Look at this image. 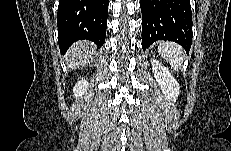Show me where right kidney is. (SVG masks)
<instances>
[{"label":"right kidney","mask_w":231,"mask_h":151,"mask_svg":"<svg viewBox=\"0 0 231 151\" xmlns=\"http://www.w3.org/2000/svg\"><path fill=\"white\" fill-rule=\"evenodd\" d=\"M87 89H88V81L86 79H82L78 81L73 88L74 96L78 98L84 95Z\"/></svg>","instance_id":"obj_1"}]
</instances>
